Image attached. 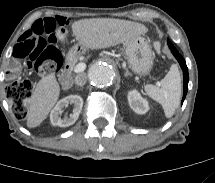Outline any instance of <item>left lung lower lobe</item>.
I'll list each match as a JSON object with an SVG mask.
<instances>
[{
  "label": "left lung lower lobe",
  "instance_id": "0a47b994",
  "mask_svg": "<svg viewBox=\"0 0 215 183\" xmlns=\"http://www.w3.org/2000/svg\"><path fill=\"white\" fill-rule=\"evenodd\" d=\"M168 46L171 49V52L173 53V55L175 56V58L178 60L182 70H183V79H184V92H183V99H182V103L185 99V96L187 94V90H188V81H189V76H188V68L186 66V62L183 59V57L178 53V51L176 50V48L173 46V44L167 40Z\"/></svg>",
  "mask_w": 215,
  "mask_h": 183
}]
</instances>
